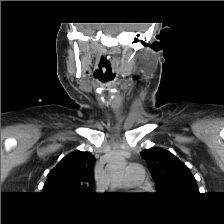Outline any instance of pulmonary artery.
Listing matches in <instances>:
<instances>
[{
    "label": "pulmonary artery",
    "mask_w": 224,
    "mask_h": 224,
    "mask_svg": "<svg viewBox=\"0 0 224 224\" xmlns=\"http://www.w3.org/2000/svg\"><path fill=\"white\" fill-rule=\"evenodd\" d=\"M144 182L143 169L137 164H131L127 167L123 186L125 187H138Z\"/></svg>",
    "instance_id": "obj_1"
}]
</instances>
